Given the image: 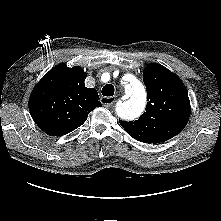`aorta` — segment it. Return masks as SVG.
I'll use <instances>...</instances> for the list:
<instances>
[{"mask_svg": "<svg viewBox=\"0 0 221 221\" xmlns=\"http://www.w3.org/2000/svg\"><path fill=\"white\" fill-rule=\"evenodd\" d=\"M127 101L119 103L116 107L118 116L124 119H134L144 110L146 105V92L143 85L135 78L125 84Z\"/></svg>", "mask_w": 221, "mask_h": 221, "instance_id": "obj_1", "label": "aorta"}]
</instances>
